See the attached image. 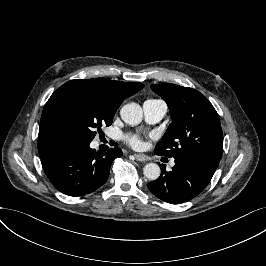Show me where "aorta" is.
Wrapping results in <instances>:
<instances>
[{
	"label": "aorta",
	"mask_w": 266,
	"mask_h": 266,
	"mask_svg": "<svg viewBox=\"0 0 266 266\" xmlns=\"http://www.w3.org/2000/svg\"><path fill=\"white\" fill-rule=\"evenodd\" d=\"M122 120L129 125H138L143 119V111L139 104L128 103L120 110ZM144 176L150 180H157L161 174V169L156 163H148L143 168Z\"/></svg>",
	"instance_id": "obj_1"
}]
</instances>
